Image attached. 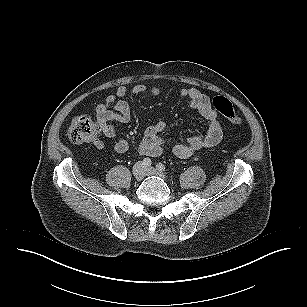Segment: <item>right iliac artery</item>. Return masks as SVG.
<instances>
[{
	"mask_svg": "<svg viewBox=\"0 0 307 307\" xmlns=\"http://www.w3.org/2000/svg\"><path fill=\"white\" fill-rule=\"evenodd\" d=\"M142 163H143V165L145 166V167H149L150 165H151V159H149V158H144L143 159V161H142Z\"/></svg>",
	"mask_w": 307,
	"mask_h": 307,
	"instance_id": "right-iliac-artery-1",
	"label": "right iliac artery"
}]
</instances>
